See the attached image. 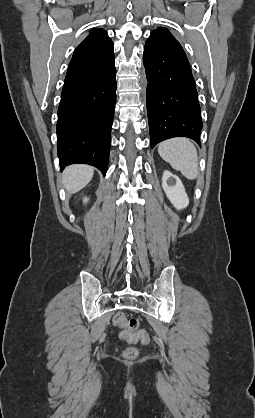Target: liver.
<instances>
[{
  "label": "liver",
  "mask_w": 255,
  "mask_h": 418,
  "mask_svg": "<svg viewBox=\"0 0 255 418\" xmlns=\"http://www.w3.org/2000/svg\"><path fill=\"white\" fill-rule=\"evenodd\" d=\"M93 167L89 165H71L63 173V185L69 194L83 189L92 179Z\"/></svg>",
  "instance_id": "obj_1"
}]
</instances>
